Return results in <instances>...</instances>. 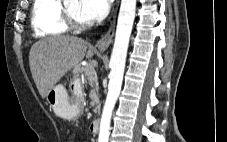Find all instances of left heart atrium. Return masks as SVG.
Wrapping results in <instances>:
<instances>
[{
	"mask_svg": "<svg viewBox=\"0 0 227 142\" xmlns=\"http://www.w3.org/2000/svg\"><path fill=\"white\" fill-rule=\"evenodd\" d=\"M112 0H79L80 13L87 21H99L106 17Z\"/></svg>",
	"mask_w": 227,
	"mask_h": 142,
	"instance_id": "39dd6f15",
	"label": "left heart atrium"
}]
</instances>
